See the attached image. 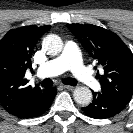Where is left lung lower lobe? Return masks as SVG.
<instances>
[{
  "label": "left lung lower lobe",
  "mask_w": 133,
  "mask_h": 133,
  "mask_svg": "<svg viewBox=\"0 0 133 133\" xmlns=\"http://www.w3.org/2000/svg\"><path fill=\"white\" fill-rule=\"evenodd\" d=\"M127 103L105 96L99 92H93V101L82 111L89 117L95 119L110 118L120 113Z\"/></svg>",
  "instance_id": "obj_1"
}]
</instances>
